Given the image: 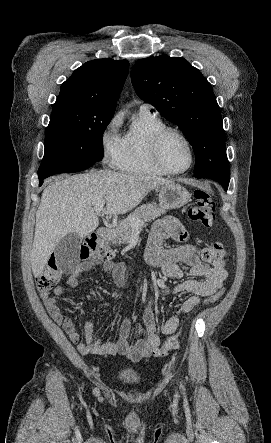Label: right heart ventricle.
<instances>
[{"label": "right heart ventricle", "instance_id": "1", "mask_svg": "<svg viewBox=\"0 0 271 443\" xmlns=\"http://www.w3.org/2000/svg\"><path fill=\"white\" fill-rule=\"evenodd\" d=\"M166 123L156 114L139 112L122 138V153L117 166L120 170L149 175H165L153 161L151 142L157 131Z\"/></svg>", "mask_w": 271, "mask_h": 443}]
</instances>
